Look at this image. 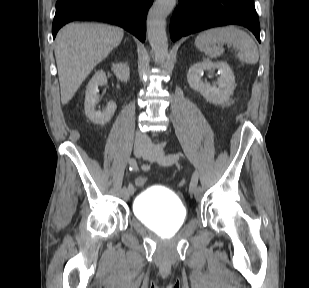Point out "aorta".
<instances>
[{"instance_id":"1","label":"aorta","mask_w":309,"mask_h":288,"mask_svg":"<svg viewBox=\"0 0 309 288\" xmlns=\"http://www.w3.org/2000/svg\"><path fill=\"white\" fill-rule=\"evenodd\" d=\"M176 0H156L148 12L147 36L155 53V60L163 64L168 52L166 18L172 12Z\"/></svg>"}]
</instances>
